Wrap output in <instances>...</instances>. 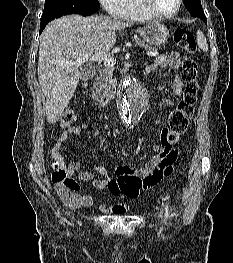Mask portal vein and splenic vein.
I'll return each instance as SVG.
<instances>
[{
    "mask_svg": "<svg viewBox=\"0 0 233 263\" xmlns=\"http://www.w3.org/2000/svg\"><path fill=\"white\" fill-rule=\"evenodd\" d=\"M148 56H157L158 52H148ZM88 61H96V62H104L107 65L113 67L114 66V59L108 54H85L82 55L81 57L75 59L72 62L66 63L65 66H72V65H82Z\"/></svg>",
    "mask_w": 233,
    "mask_h": 263,
    "instance_id": "obj_1",
    "label": "portal vein and splenic vein"
}]
</instances>
